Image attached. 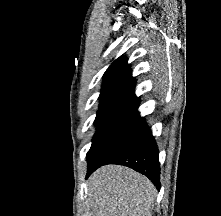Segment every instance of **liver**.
<instances>
[{
	"label": "liver",
	"instance_id": "liver-1",
	"mask_svg": "<svg viewBox=\"0 0 221 216\" xmlns=\"http://www.w3.org/2000/svg\"><path fill=\"white\" fill-rule=\"evenodd\" d=\"M156 194L148 178L120 165L103 166L88 180L94 216H152Z\"/></svg>",
	"mask_w": 221,
	"mask_h": 216
}]
</instances>
